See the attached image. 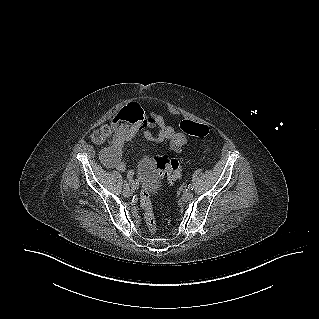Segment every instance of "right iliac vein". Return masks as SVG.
I'll list each match as a JSON object with an SVG mask.
<instances>
[{
  "instance_id": "obj_1",
  "label": "right iliac vein",
  "mask_w": 319,
  "mask_h": 319,
  "mask_svg": "<svg viewBox=\"0 0 319 319\" xmlns=\"http://www.w3.org/2000/svg\"><path fill=\"white\" fill-rule=\"evenodd\" d=\"M131 194H132V192H131V190H130L129 188H125V189L123 190V195H124V197L128 198V197L131 196Z\"/></svg>"
}]
</instances>
